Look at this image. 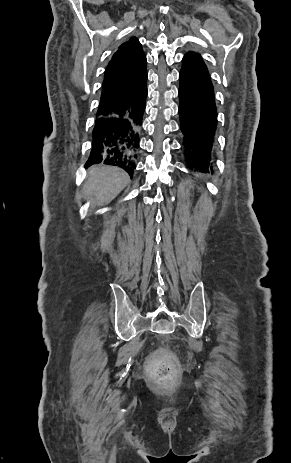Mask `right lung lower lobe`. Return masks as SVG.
<instances>
[{"label": "right lung lower lobe", "instance_id": "obj_1", "mask_svg": "<svg viewBox=\"0 0 291 463\" xmlns=\"http://www.w3.org/2000/svg\"><path fill=\"white\" fill-rule=\"evenodd\" d=\"M146 80L147 73L140 86L122 103L110 109L106 115L96 118L86 166L102 162L118 166L130 177L133 176L147 96Z\"/></svg>", "mask_w": 291, "mask_h": 463}]
</instances>
